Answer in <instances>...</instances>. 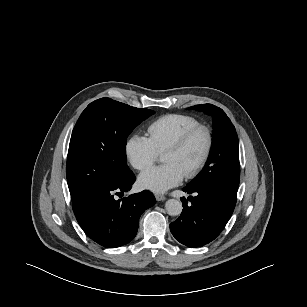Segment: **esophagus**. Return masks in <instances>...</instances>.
<instances>
[{"label": "esophagus", "mask_w": 307, "mask_h": 307, "mask_svg": "<svg viewBox=\"0 0 307 307\" xmlns=\"http://www.w3.org/2000/svg\"><path fill=\"white\" fill-rule=\"evenodd\" d=\"M155 198H156L157 201H163V200L166 199V197L164 195L157 194V193L155 194Z\"/></svg>", "instance_id": "obj_1"}]
</instances>
